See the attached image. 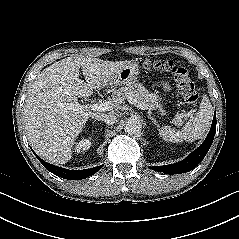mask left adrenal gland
I'll return each mask as SVG.
<instances>
[{
    "mask_svg": "<svg viewBox=\"0 0 239 239\" xmlns=\"http://www.w3.org/2000/svg\"><path fill=\"white\" fill-rule=\"evenodd\" d=\"M148 118H149L150 120H152V122L154 123V125H155L156 127H159V124H158V122L156 121V119H154L152 116H149V115H148Z\"/></svg>",
    "mask_w": 239,
    "mask_h": 239,
    "instance_id": "a2214340",
    "label": "left adrenal gland"
}]
</instances>
